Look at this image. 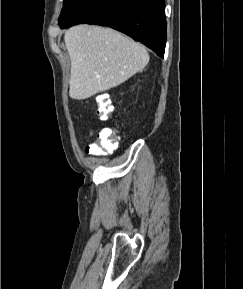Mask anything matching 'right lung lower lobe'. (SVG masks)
<instances>
[{
  "instance_id": "obj_1",
  "label": "right lung lower lobe",
  "mask_w": 243,
  "mask_h": 289,
  "mask_svg": "<svg viewBox=\"0 0 243 289\" xmlns=\"http://www.w3.org/2000/svg\"><path fill=\"white\" fill-rule=\"evenodd\" d=\"M80 23L119 30L164 57L165 0H82L60 26L67 28Z\"/></svg>"
}]
</instances>
